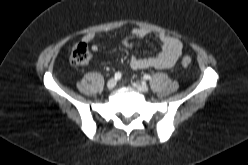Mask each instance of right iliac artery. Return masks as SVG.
Here are the masks:
<instances>
[{
	"mask_svg": "<svg viewBox=\"0 0 248 165\" xmlns=\"http://www.w3.org/2000/svg\"><path fill=\"white\" fill-rule=\"evenodd\" d=\"M114 78L116 80H119L121 78V73L120 72H116L115 75H114Z\"/></svg>",
	"mask_w": 248,
	"mask_h": 165,
	"instance_id": "obj_1",
	"label": "right iliac artery"
}]
</instances>
